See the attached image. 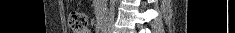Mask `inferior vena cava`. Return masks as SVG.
<instances>
[{
	"mask_svg": "<svg viewBox=\"0 0 235 33\" xmlns=\"http://www.w3.org/2000/svg\"><path fill=\"white\" fill-rule=\"evenodd\" d=\"M110 21L112 22L113 21V19H114V7H111L110 8Z\"/></svg>",
	"mask_w": 235,
	"mask_h": 33,
	"instance_id": "602c4592",
	"label": "inferior vena cava"
}]
</instances>
